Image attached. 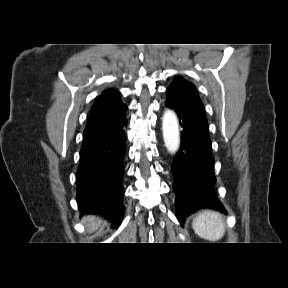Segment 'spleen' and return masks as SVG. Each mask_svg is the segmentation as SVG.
<instances>
[{
	"instance_id": "3e777b00",
	"label": "spleen",
	"mask_w": 288,
	"mask_h": 288,
	"mask_svg": "<svg viewBox=\"0 0 288 288\" xmlns=\"http://www.w3.org/2000/svg\"><path fill=\"white\" fill-rule=\"evenodd\" d=\"M197 235L209 241H217L224 236L225 224L220 214L205 210L199 213L192 222Z\"/></svg>"
}]
</instances>
